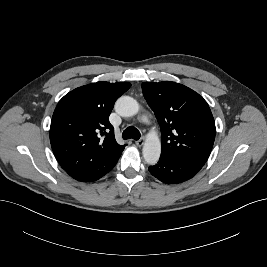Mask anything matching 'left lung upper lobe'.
<instances>
[{"mask_svg":"<svg viewBox=\"0 0 267 267\" xmlns=\"http://www.w3.org/2000/svg\"><path fill=\"white\" fill-rule=\"evenodd\" d=\"M142 92L161 128V156L204 165L216 133L207 102L192 89L170 81L144 82Z\"/></svg>","mask_w":267,"mask_h":267,"instance_id":"5c2ea615","label":"left lung upper lobe"}]
</instances>
